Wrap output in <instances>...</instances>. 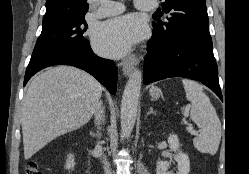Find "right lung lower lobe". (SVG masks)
<instances>
[{
    "label": "right lung lower lobe",
    "mask_w": 249,
    "mask_h": 174,
    "mask_svg": "<svg viewBox=\"0 0 249 174\" xmlns=\"http://www.w3.org/2000/svg\"><path fill=\"white\" fill-rule=\"evenodd\" d=\"M52 65H72L83 69L103 84L111 94L116 92L117 68L114 62L95 55L90 45L56 47L33 52L26 69L24 86L35 73Z\"/></svg>",
    "instance_id": "1"
}]
</instances>
